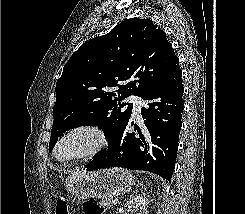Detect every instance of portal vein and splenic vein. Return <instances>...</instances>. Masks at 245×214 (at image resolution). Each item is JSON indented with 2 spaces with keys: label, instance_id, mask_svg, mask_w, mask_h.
Wrapping results in <instances>:
<instances>
[{
  "label": "portal vein and splenic vein",
  "instance_id": "18ae733b",
  "mask_svg": "<svg viewBox=\"0 0 245 214\" xmlns=\"http://www.w3.org/2000/svg\"><path fill=\"white\" fill-rule=\"evenodd\" d=\"M112 203H113L114 205H116V204H117V201H116V200H114Z\"/></svg>",
  "mask_w": 245,
  "mask_h": 214
}]
</instances>
